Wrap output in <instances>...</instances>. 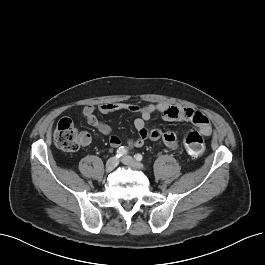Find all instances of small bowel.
<instances>
[{
	"label": "small bowel",
	"mask_w": 265,
	"mask_h": 265,
	"mask_svg": "<svg viewBox=\"0 0 265 265\" xmlns=\"http://www.w3.org/2000/svg\"><path fill=\"white\" fill-rule=\"evenodd\" d=\"M98 110L102 114H109L121 110L140 114V117L136 118L134 121V127L138 132V137L136 139H130L127 142L128 146L131 148L141 147L147 140H161L170 149L175 150L178 148L177 136L172 130H163L160 128L148 129L146 127V122L156 112L160 113L162 117L168 121L192 122L205 135H209L212 131L207 116L189 107H178L169 104H147L145 106H139L125 103H105L100 105ZM82 115L90 126L96 128L101 134L109 136L111 147L117 148L122 145L121 138L111 133V127L96 117L95 108L93 106H85ZM80 139L84 146L91 142V136L86 131L80 133Z\"/></svg>",
	"instance_id": "small-bowel-1"
}]
</instances>
